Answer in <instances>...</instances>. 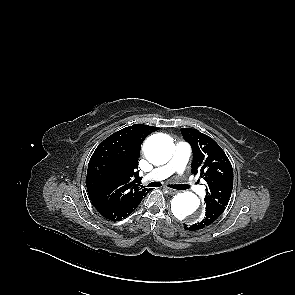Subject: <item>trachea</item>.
<instances>
[{"mask_svg": "<svg viewBox=\"0 0 295 295\" xmlns=\"http://www.w3.org/2000/svg\"><path fill=\"white\" fill-rule=\"evenodd\" d=\"M160 186H161L160 182H151L147 185V187H160ZM172 187L175 189H182V190L188 189L186 185H176V186L174 185Z\"/></svg>", "mask_w": 295, "mask_h": 295, "instance_id": "trachea-1", "label": "trachea"}]
</instances>
